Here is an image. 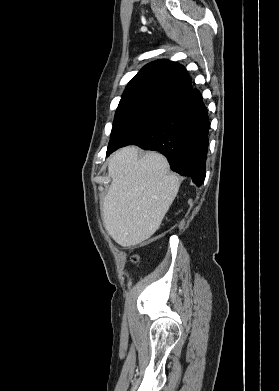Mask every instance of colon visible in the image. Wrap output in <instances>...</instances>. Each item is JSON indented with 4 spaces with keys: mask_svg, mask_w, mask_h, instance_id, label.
Masks as SVG:
<instances>
[{
    "mask_svg": "<svg viewBox=\"0 0 279 391\" xmlns=\"http://www.w3.org/2000/svg\"><path fill=\"white\" fill-rule=\"evenodd\" d=\"M136 259H137L136 257L133 258L134 261H135Z\"/></svg>",
    "mask_w": 279,
    "mask_h": 391,
    "instance_id": "1",
    "label": "colon"
}]
</instances>
